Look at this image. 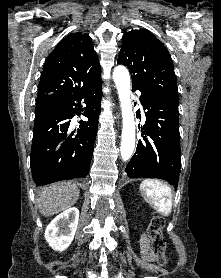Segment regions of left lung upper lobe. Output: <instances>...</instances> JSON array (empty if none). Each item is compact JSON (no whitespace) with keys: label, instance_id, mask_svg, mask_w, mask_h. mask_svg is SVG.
Wrapping results in <instances>:
<instances>
[{"label":"left lung upper lobe","instance_id":"1","mask_svg":"<svg viewBox=\"0 0 221 278\" xmlns=\"http://www.w3.org/2000/svg\"><path fill=\"white\" fill-rule=\"evenodd\" d=\"M117 62L129 69L132 85L178 103L172 60L166 47L151 32H125Z\"/></svg>","mask_w":221,"mask_h":278}]
</instances>
